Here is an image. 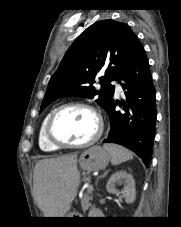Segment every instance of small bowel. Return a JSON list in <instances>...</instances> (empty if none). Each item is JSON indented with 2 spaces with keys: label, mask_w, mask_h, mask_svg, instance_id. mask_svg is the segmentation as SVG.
Here are the masks:
<instances>
[{
  "label": "small bowel",
  "mask_w": 181,
  "mask_h": 227,
  "mask_svg": "<svg viewBox=\"0 0 181 227\" xmlns=\"http://www.w3.org/2000/svg\"><path fill=\"white\" fill-rule=\"evenodd\" d=\"M92 215H99V212H98V210L97 209H95V208H93L92 210H91V212H90Z\"/></svg>",
  "instance_id": "1"
}]
</instances>
